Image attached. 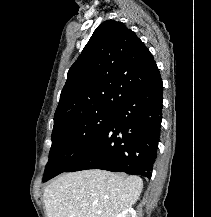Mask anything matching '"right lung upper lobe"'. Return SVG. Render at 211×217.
I'll use <instances>...</instances> for the list:
<instances>
[{
    "label": "right lung upper lobe",
    "instance_id": "1",
    "mask_svg": "<svg viewBox=\"0 0 211 217\" xmlns=\"http://www.w3.org/2000/svg\"><path fill=\"white\" fill-rule=\"evenodd\" d=\"M158 78L159 69L144 43L122 22L107 20L68 71L54 127L86 113L116 110Z\"/></svg>",
    "mask_w": 211,
    "mask_h": 217
}]
</instances>
